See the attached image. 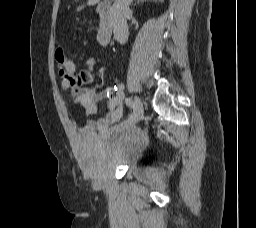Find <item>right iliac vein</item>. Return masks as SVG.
Returning <instances> with one entry per match:
<instances>
[{
  "label": "right iliac vein",
  "mask_w": 256,
  "mask_h": 228,
  "mask_svg": "<svg viewBox=\"0 0 256 228\" xmlns=\"http://www.w3.org/2000/svg\"><path fill=\"white\" fill-rule=\"evenodd\" d=\"M143 113H144L143 104L139 97H135L134 110H133V116L131 118V122L137 123L138 121H140L143 117Z\"/></svg>",
  "instance_id": "obj_1"
}]
</instances>
